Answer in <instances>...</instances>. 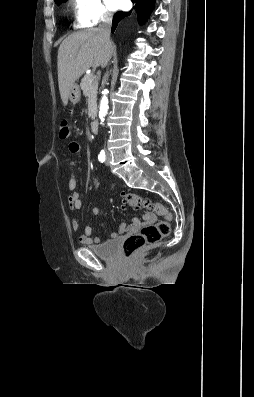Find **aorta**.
<instances>
[{
    "mask_svg": "<svg viewBox=\"0 0 254 397\" xmlns=\"http://www.w3.org/2000/svg\"><path fill=\"white\" fill-rule=\"evenodd\" d=\"M107 90L103 91V97L100 102V110H99V118L101 123L104 122L105 115L108 111V98H107Z\"/></svg>",
    "mask_w": 254,
    "mask_h": 397,
    "instance_id": "762f6f07",
    "label": "aorta"
}]
</instances>
